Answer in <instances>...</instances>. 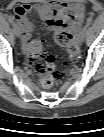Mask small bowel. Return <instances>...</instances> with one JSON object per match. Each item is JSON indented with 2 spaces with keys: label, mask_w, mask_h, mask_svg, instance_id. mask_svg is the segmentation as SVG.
I'll list each match as a JSON object with an SVG mask.
<instances>
[{
  "label": "small bowel",
  "mask_w": 104,
  "mask_h": 137,
  "mask_svg": "<svg viewBox=\"0 0 104 137\" xmlns=\"http://www.w3.org/2000/svg\"><path fill=\"white\" fill-rule=\"evenodd\" d=\"M30 13H37L50 29L65 28L78 32L85 20V6L82 3H67L49 0L43 4H24L15 7L13 18L21 30L22 49L28 56L32 23Z\"/></svg>",
  "instance_id": "obj_1"
}]
</instances>
